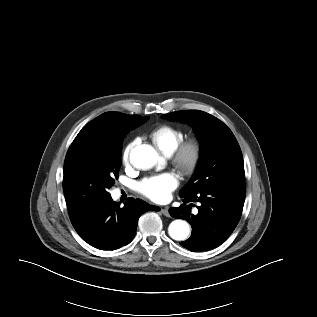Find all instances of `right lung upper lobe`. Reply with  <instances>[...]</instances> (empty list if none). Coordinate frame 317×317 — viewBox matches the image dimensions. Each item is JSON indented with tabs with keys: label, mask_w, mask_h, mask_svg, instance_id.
<instances>
[{
	"label": "right lung upper lobe",
	"mask_w": 317,
	"mask_h": 317,
	"mask_svg": "<svg viewBox=\"0 0 317 317\" xmlns=\"http://www.w3.org/2000/svg\"><path fill=\"white\" fill-rule=\"evenodd\" d=\"M116 120L112 112H106L95 118L87 125H85L79 132V135L87 133H96L100 136H109V130L114 126Z\"/></svg>",
	"instance_id": "obj_1"
}]
</instances>
